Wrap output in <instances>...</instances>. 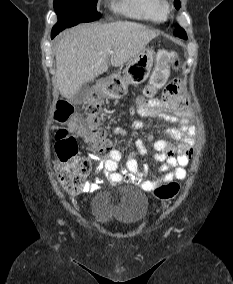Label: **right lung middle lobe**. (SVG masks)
<instances>
[{
    "label": "right lung middle lobe",
    "mask_w": 233,
    "mask_h": 284,
    "mask_svg": "<svg viewBox=\"0 0 233 284\" xmlns=\"http://www.w3.org/2000/svg\"><path fill=\"white\" fill-rule=\"evenodd\" d=\"M98 0H54L58 22L52 29L54 37L65 28L81 22L97 20L101 14L96 10Z\"/></svg>",
    "instance_id": "dd1d6c3e"
}]
</instances>
